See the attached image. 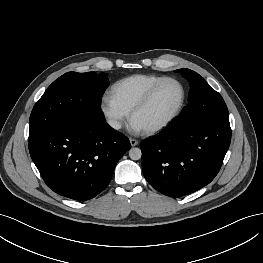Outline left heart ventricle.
I'll return each mask as SVG.
<instances>
[{
    "instance_id": "b2bd125f",
    "label": "left heart ventricle",
    "mask_w": 263,
    "mask_h": 263,
    "mask_svg": "<svg viewBox=\"0 0 263 263\" xmlns=\"http://www.w3.org/2000/svg\"><path fill=\"white\" fill-rule=\"evenodd\" d=\"M181 97L180 86L176 82L167 81L158 88L149 104L135 114L133 120L142 130L155 126L175 112Z\"/></svg>"
}]
</instances>
